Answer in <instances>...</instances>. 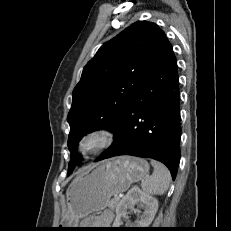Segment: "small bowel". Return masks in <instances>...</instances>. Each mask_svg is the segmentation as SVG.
Here are the masks:
<instances>
[{
  "instance_id": "1",
  "label": "small bowel",
  "mask_w": 231,
  "mask_h": 231,
  "mask_svg": "<svg viewBox=\"0 0 231 231\" xmlns=\"http://www.w3.org/2000/svg\"><path fill=\"white\" fill-rule=\"evenodd\" d=\"M114 218V214L110 210H106L99 216V224L106 226L111 223Z\"/></svg>"
}]
</instances>
